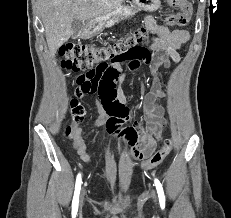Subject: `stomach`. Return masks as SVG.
Wrapping results in <instances>:
<instances>
[{
  "instance_id": "obj_1",
  "label": "stomach",
  "mask_w": 231,
  "mask_h": 218,
  "mask_svg": "<svg viewBox=\"0 0 231 218\" xmlns=\"http://www.w3.org/2000/svg\"><path fill=\"white\" fill-rule=\"evenodd\" d=\"M160 7V0H132L129 6L121 5L110 16L95 20L88 25V34H96L103 28L105 21L113 16L117 18H127L135 15L138 11L144 10L153 12Z\"/></svg>"
}]
</instances>
